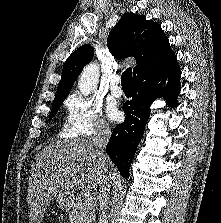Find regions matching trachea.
Masks as SVG:
<instances>
[{"instance_id": "trachea-1", "label": "trachea", "mask_w": 221, "mask_h": 223, "mask_svg": "<svg viewBox=\"0 0 221 223\" xmlns=\"http://www.w3.org/2000/svg\"><path fill=\"white\" fill-rule=\"evenodd\" d=\"M121 85L123 88H132V69L128 68L123 72L121 77Z\"/></svg>"}]
</instances>
